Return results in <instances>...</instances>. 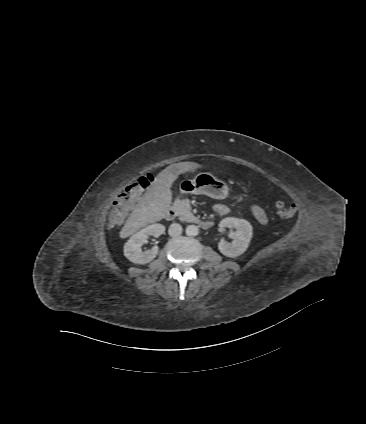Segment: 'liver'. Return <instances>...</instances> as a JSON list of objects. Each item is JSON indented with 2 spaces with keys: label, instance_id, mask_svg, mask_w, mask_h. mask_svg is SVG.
Segmentation results:
<instances>
[{
  "label": "liver",
  "instance_id": "obj_1",
  "mask_svg": "<svg viewBox=\"0 0 366 424\" xmlns=\"http://www.w3.org/2000/svg\"><path fill=\"white\" fill-rule=\"evenodd\" d=\"M199 167L201 165L187 161L172 164L162 170L127 218L119 233L120 238H127L140 228L163 219L171 207L173 182L180 174Z\"/></svg>",
  "mask_w": 366,
  "mask_h": 424
}]
</instances>
